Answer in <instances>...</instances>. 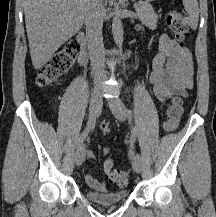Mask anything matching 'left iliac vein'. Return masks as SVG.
Masks as SVG:
<instances>
[{"instance_id":"1","label":"left iliac vein","mask_w":216,"mask_h":217,"mask_svg":"<svg viewBox=\"0 0 216 217\" xmlns=\"http://www.w3.org/2000/svg\"><path fill=\"white\" fill-rule=\"evenodd\" d=\"M108 105L113 113V115L119 120V121H125L127 117L126 109L121 101L120 98H112L108 101ZM133 169L136 173H140L141 171V159L139 155H137L135 158H133L132 161Z\"/></svg>"}]
</instances>
